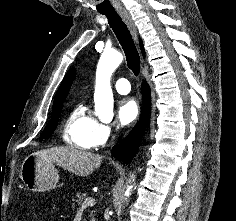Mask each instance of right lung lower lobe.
Listing matches in <instances>:
<instances>
[{"mask_svg": "<svg viewBox=\"0 0 236 221\" xmlns=\"http://www.w3.org/2000/svg\"><path fill=\"white\" fill-rule=\"evenodd\" d=\"M144 109L140 121L131 131V133L121 142L120 145L116 146L112 150V154L119 160L124 162H130L133 156H135L138 147L140 145L142 135L146 125V118L149 109L150 93L149 87L146 83L142 84Z\"/></svg>", "mask_w": 236, "mask_h": 221, "instance_id": "1", "label": "right lung lower lobe"}]
</instances>
